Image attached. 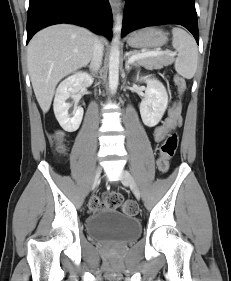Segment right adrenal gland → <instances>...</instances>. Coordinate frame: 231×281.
<instances>
[{
    "instance_id": "1",
    "label": "right adrenal gland",
    "mask_w": 231,
    "mask_h": 281,
    "mask_svg": "<svg viewBox=\"0 0 231 281\" xmlns=\"http://www.w3.org/2000/svg\"><path fill=\"white\" fill-rule=\"evenodd\" d=\"M92 74L94 73V70H92L91 65L88 66Z\"/></svg>"
}]
</instances>
